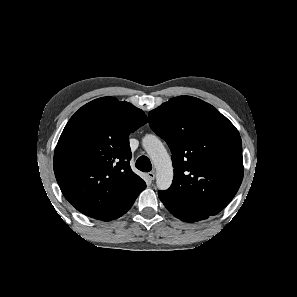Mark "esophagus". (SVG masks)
Instances as JSON below:
<instances>
[{
	"label": "esophagus",
	"mask_w": 297,
	"mask_h": 297,
	"mask_svg": "<svg viewBox=\"0 0 297 297\" xmlns=\"http://www.w3.org/2000/svg\"><path fill=\"white\" fill-rule=\"evenodd\" d=\"M147 176H148V178H149L150 181H153L155 179V173L154 172H149L147 174Z\"/></svg>",
	"instance_id": "esophagus-1"
}]
</instances>
